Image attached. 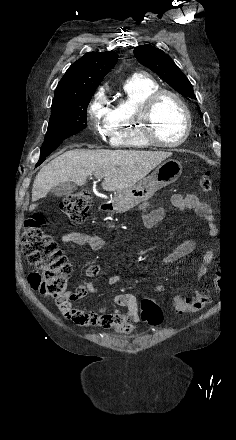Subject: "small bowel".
Masks as SVG:
<instances>
[{"instance_id":"obj_1","label":"small bowel","mask_w":236,"mask_h":440,"mask_svg":"<svg viewBox=\"0 0 236 440\" xmlns=\"http://www.w3.org/2000/svg\"><path fill=\"white\" fill-rule=\"evenodd\" d=\"M173 206L177 209L184 211L187 209L193 210L200 218H202L210 227L213 234L214 220L210 212L209 206L200 201L194 194H188L182 196L175 194L170 199ZM152 200L143 202L140 206L143 214V221L147 228L155 227L164 217V208L161 206L150 209ZM61 241L65 244H75L78 246H86L93 251L102 250L104 247V240L97 235H91L81 232H70L62 236ZM194 248V242L187 240L180 245L174 247L171 252L160 262V265H166L174 263L186 255H188ZM211 262L210 254H206L204 262L199 268L195 279H201L208 271L209 264ZM100 272L99 265H91L87 267L85 276L87 279L81 281L76 287L75 291L70 292L72 299L69 313L65 315L71 321H79V330H90L91 325H95L104 329L114 330L121 335H129L135 332L138 328L140 321L139 309L136 301V297L132 293H120L113 299V305L118 307H125L126 311H120L114 306L103 305L97 311L93 310H79L72 305L75 301L82 299L87 294H94L98 291L96 285L90 280L96 277ZM121 281L119 274H114L109 278V284L116 285ZM157 292L165 290V286L159 284L154 289Z\"/></svg>"}]
</instances>
